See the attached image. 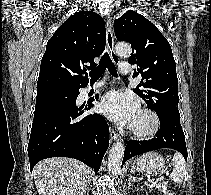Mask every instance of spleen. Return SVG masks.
Here are the masks:
<instances>
[{"mask_svg": "<svg viewBox=\"0 0 211 195\" xmlns=\"http://www.w3.org/2000/svg\"><path fill=\"white\" fill-rule=\"evenodd\" d=\"M172 164L174 166L173 172L170 175L172 181L178 184L182 183L185 174V160L183 156L176 152L172 159Z\"/></svg>", "mask_w": 211, "mask_h": 195, "instance_id": "1", "label": "spleen"}]
</instances>
